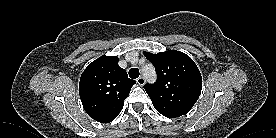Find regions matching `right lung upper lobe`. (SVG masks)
I'll return each instance as SVG.
<instances>
[{"instance_id":"cb5924a9","label":"right lung upper lobe","mask_w":276,"mask_h":138,"mask_svg":"<svg viewBox=\"0 0 276 138\" xmlns=\"http://www.w3.org/2000/svg\"><path fill=\"white\" fill-rule=\"evenodd\" d=\"M118 61L116 56H101L87 66L80 78L82 105L90 117L101 123H109L118 116L136 83Z\"/></svg>"}]
</instances>
